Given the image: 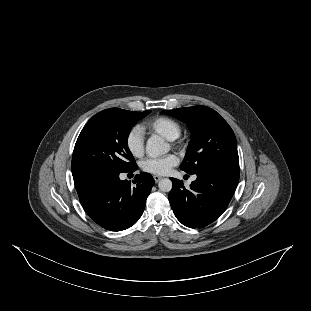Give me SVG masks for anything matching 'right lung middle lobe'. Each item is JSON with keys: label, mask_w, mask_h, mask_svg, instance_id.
<instances>
[{"label": "right lung middle lobe", "mask_w": 311, "mask_h": 311, "mask_svg": "<svg viewBox=\"0 0 311 311\" xmlns=\"http://www.w3.org/2000/svg\"><path fill=\"white\" fill-rule=\"evenodd\" d=\"M150 110L110 108L94 115L82 129L72 156V175L94 169L128 172L137 168L127 139L134 124Z\"/></svg>", "instance_id": "right-lung-middle-lobe-1"}]
</instances>
